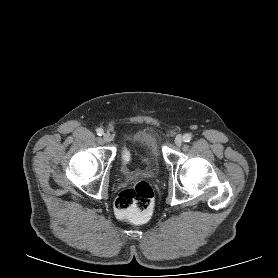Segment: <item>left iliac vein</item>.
I'll use <instances>...</instances> for the list:
<instances>
[{"mask_svg":"<svg viewBox=\"0 0 278 278\" xmlns=\"http://www.w3.org/2000/svg\"><path fill=\"white\" fill-rule=\"evenodd\" d=\"M175 145L177 146H181L183 143V138L181 135L176 136L175 140H174Z\"/></svg>","mask_w":278,"mask_h":278,"instance_id":"4c4485c4","label":"left iliac vein"}]
</instances>
